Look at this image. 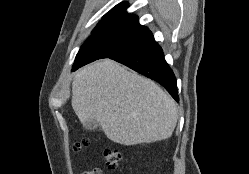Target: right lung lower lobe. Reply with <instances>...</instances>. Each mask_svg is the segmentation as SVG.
I'll use <instances>...</instances> for the list:
<instances>
[{
  "mask_svg": "<svg viewBox=\"0 0 249 174\" xmlns=\"http://www.w3.org/2000/svg\"><path fill=\"white\" fill-rule=\"evenodd\" d=\"M110 59L157 81L167 89L177 102L179 101L176 78L164 59L162 48L154 40L152 33L145 43L114 55Z\"/></svg>",
  "mask_w": 249,
  "mask_h": 174,
  "instance_id": "obj_1",
  "label": "right lung lower lobe"
}]
</instances>
